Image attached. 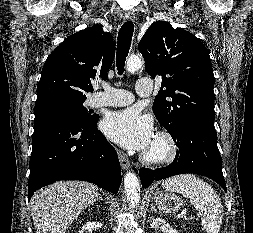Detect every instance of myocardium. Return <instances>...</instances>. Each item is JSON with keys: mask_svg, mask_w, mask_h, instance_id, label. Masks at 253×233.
Here are the masks:
<instances>
[{"mask_svg": "<svg viewBox=\"0 0 253 233\" xmlns=\"http://www.w3.org/2000/svg\"><path fill=\"white\" fill-rule=\"evenodd\" d=\"M179 154V147L174 136L168 131L156 134L150 148L142 154L147 164L162 165L173 162Z\"/></svg>", "mask_w": 253, "mask_h": 233, "instance_id": "1", "label": "myocardium"}]
</instances>
